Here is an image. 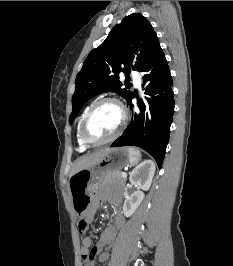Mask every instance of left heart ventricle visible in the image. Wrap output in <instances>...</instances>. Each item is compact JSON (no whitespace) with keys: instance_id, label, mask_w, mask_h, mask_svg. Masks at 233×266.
<instances>
[{"instance_id":"obj_1","label":"left heart ventricle","mask_w":233,"mask_h":266,"mask_svg":"<svg viewBox=\"0 0 233 266\" xmlns=\"http://www.w3.org/2000/svg\"><path fill=\"white\" fill-rule=\"evenodd\" d=\"M121 121L120 108L113 103H105L91 116L86 128L87 136L93 141L104 140L114 134Z\"/></svg>"}]
</instances>
